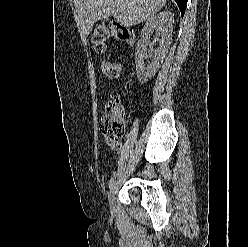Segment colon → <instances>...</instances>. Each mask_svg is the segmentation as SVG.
Wrapping results in <instances>:
<instances>
[{"label":"colon","mask_w":248,"mask_h":247,"mask_svg":"<svg viewBox=\"0 0 248 247\" xmlns=\"http://www.w3.org/2000/svg\"><path fill=\"white\" fill-rule=\"evenodd\" d=\"M115 37L123 42L132 44L134 42L133 33L126 27L113 22L107 21L99 24L93 31L91 41L97 52L105 54L107 52V41ZM102 72L109 78H116L120 74V65L113 60L102 61ZM125 111L120 105V99L113 96L108 104L105 113L101 118V133L112 149L120 147L123 135L125 133Z\"/></svg>","instance_id":"1"}]
</instances>
